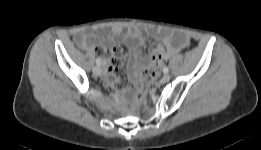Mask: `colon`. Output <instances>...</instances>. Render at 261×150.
Returning <instances> with one entry per match:
<instances>
[{
  "label": "colon",
  "instance_id": "obj_1",
  "mask_svg": "<svg viewBox=\"0 0 261 150\" xmlns=\"http://www.w3.org/2000/svg\"><path fill=\"white\" fill-rule=\"evenodd\" d=\"M158 58H159L158 54H155L153 56L154 67L146 70L141 75L140 82L133 91V100H134L135 104L139 105L145 100L146 88H147V85H148V82L150 81V79L155 76L156 67L158 65Z\"/></svg>",
  "mask_w": 261,
  "mask_h": 150
}]
</instances>
